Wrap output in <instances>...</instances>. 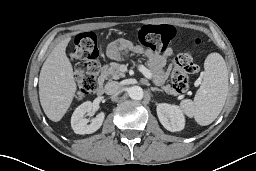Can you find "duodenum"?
<instances>
[{"label": "duodenum", "mask_w": 256, "mask_h": 171, "mask_svg": "<svg viewBox=\"0 0 256 171\" xmlns=\"http://www.w3.org/2000/svg\"><path fill=\"white\" fill-rule=\"evenodd\" d=\"M96 92L98 95H102L104 93V76L103 74L100 75L97 87H96Z\"/></svg>", "instance_id": "1"}]
</instances>
